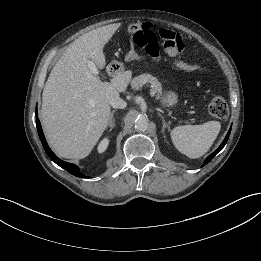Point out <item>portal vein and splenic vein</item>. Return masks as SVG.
Masks as SVG:
<instances>
[{"instance_id": "1", "label": "portal vein and splenic vein", "mask_w": 261, "mask_h": 261, "mask_svg": "<svg viewBox=\"0 0 261 261\" xmlns=\"http://www.w3.org/2000/svg\"><path fill=\"white\" fill-rule=\"evenodd\" d=\"M87 64H88V68H89V70L92 74H94V75L99 74V71H98V69H97V67H96V65L93 61L88 60Z\"/></svg>"}]
</instances>
